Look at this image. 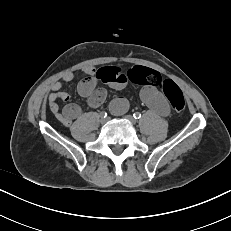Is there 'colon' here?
Listing matches in <instances>:
<instances>
[{"label":"colon","instance_id":"colon-1","mask_svg":"<svg viewBox=\"0 0 231 231\" xmlns=\"http://www.w3.org/2000/svg\"><path fill=\"white\" fill-rule=\"evenodd\" d=\"M128 79L136 84L145 86H159L168 98L172 109L180 113L185 108V99L179 87L170 79H163L161 75L151 69L134 67L127 73Z\"/></svg>","mask_w":231,"mask_h":231}]
</instances>
